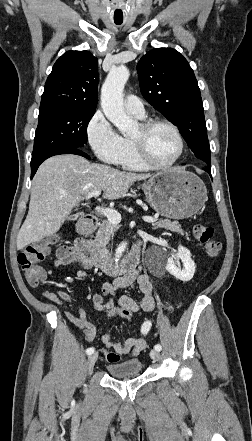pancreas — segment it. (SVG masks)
<instances>
[{
	"label": "pancreas",
	"mask_w": 252,
	"mask_h": 441,
	"mask_svg": "<svg viewBox=\"0 0 252 441\" xmlns=\"http://www.w3.org/2000/svg\"><path fill=\"white\" fill-rule=\"evenodd\" d=\"M155 225L157 228H165L167 230L180 234L183 233L181 225L176 221L171 222L169 220H160L156 222ZM116 230L117 226L113 225L109 221H103L102 223H100L93 243L101 257L107 258L110 255L106 246L108 245L111 237L114 236Z\"/></svg>",
	"instance_id": "1"
}]
</instances>
